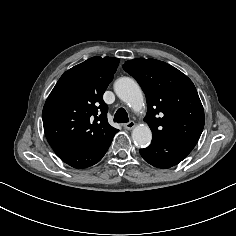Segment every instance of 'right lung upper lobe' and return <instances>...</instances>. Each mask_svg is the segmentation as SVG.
<instances>
[{
    "label": "right lung upper lobe",
    "instance_id": "1",
    "mask_svg": "<svg viewBox=\"0 0 236 236\" xmlns=\"http://www.w3.org/2000/svg\"><path fill=\"white\" fill-rule=\"evenodd\" d=\"M118 64V58L92 57L60 77L42 112L51 147L94 146L118 131L107 122L103 101Z\"/></svg>",
    "mask_w": 236,
    "mask_h": 236
}]
</instances>
